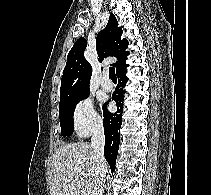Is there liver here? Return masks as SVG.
<instances>
[{"instance_id":"obj_1","label":"liver","mask_w":211,"mask_h":195,"mask_svg":"<svg viewBox=\"0 0 211 195\" xmlns=\"http://www.w3.org/2000/svg\"><path fill=\"white\" fill-rule=\"evenodd\" d=\"M95 177L92 145L61 144L56 150L50 174V195H91Z\"/></svg>"}]
</instances>
